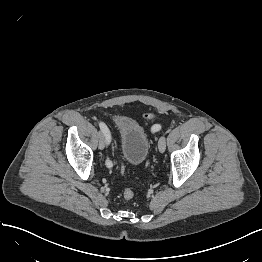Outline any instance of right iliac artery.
<instances>
[{
    "mask_svg": "<svg viewBox=\"0 0 262 262\" xmlns=\"http://www.w3.org/2000/svg\"><path fill=\"white\" fill-rule=\"evenodd\" d=\"M99 126H100V129L105 136L106 142L109 144V142L111 141V135H110V132H109L107 126L103 122H100ZM106 164H107L108 167H112V165H113L112 162L109 159L106 160Z\"/></svg>",
    "mask_w": 262,
    "mask_h": 262,
    "instance_id": "obj_1",
    "label": "right iliac artery"
}]
</instances>
